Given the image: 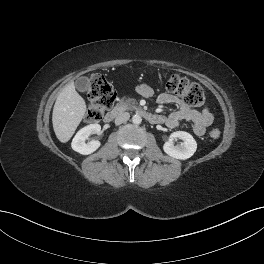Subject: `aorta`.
<instances>
[{"instance_id":"1","label":"aorta","mask_w":264,"mask_h":264,"mask_svg":"<svg viewBox=\"0 0 264 264\" xmlns=\"http://www.w3.org/2000/svg\"><path fill=\"white\" fill-rule=\"evenodd\" d=\"M132 122H133L134 124H136V125L141 124V122H142V118H141V116L138 115V114L133 115V117H132Z\"/></svg>"}]
</instances>
